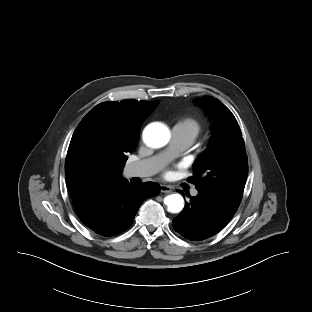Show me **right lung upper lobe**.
Wrapping results in <instances>:
<instances>
[{
    "label": "right lung upper lobe",
    "instance_id": "obj_1",
    "mask_svg": "<svg viewBox=\"0 0 312 312\" xmlns=\"http://www.w3.org/2000/svg\"><path fill=\"white\" fill-rule=\"evenodd\" d=\"M159 101L103 102L90 110L73 133L65 177L80 220L89 217L127 180L121 175L135 150L140 126Z\"/></svg>",
    "mask_w": 312,
    "mask_h": 312
}]
</instances>
